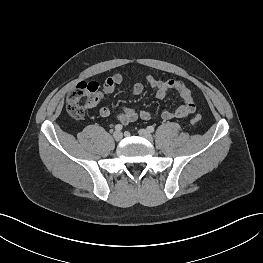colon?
Instances as JSON below:
<instances>
[{
    "mask_svg": "<svg viewBox=\"0 0 263 263\" xmlns=\"http://www.w3.org/2000/svg\"><path fill=\"white\" fill-rule=\"evenodd\" d=\"M98 92V84L95 82H80L68 94L66 98V109L68 114L80 119L84 116L86 109L92 104L93 97ZM200 116L191 119L192 124H198Z\"/></svg>",
    "mask_w": 263,
    "mask_h": 263,
    "instance_id": "colon-1",
    "label": "colon"
}]
</instances>
